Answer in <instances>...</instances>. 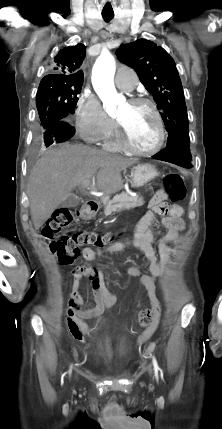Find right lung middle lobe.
I'll return each instance as SVG.
<instances>
[{
    "instance_id": "1",
    "label": "right lung middle lobe",
    "mask_w": 222,
    "mask_h": 429,
    "mask_svg": "<svg viewBox=\"0 0 222 429\" xmlns=\"http://www.w3.org/2000/svg\"><path fill=\"white\" fill-rule=\"evenodd\" d=\"M82 83L44 82L40 83L36 106L42 127L46 130L52 125L69 120L74 113Z\"/></svg>"
}]
</instances>
